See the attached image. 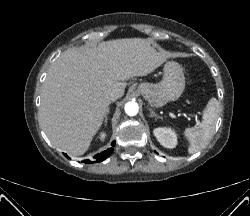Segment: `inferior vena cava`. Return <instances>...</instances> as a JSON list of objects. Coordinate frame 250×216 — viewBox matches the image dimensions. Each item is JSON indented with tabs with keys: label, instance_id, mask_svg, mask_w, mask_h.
Wrapping results in <instances>:
<instances>
[{
	"label": "inferior vena cava",
	"instance_id": "obj_1",
	"mask_svg": "<svg viewBox=\"0 0 250 216\" xmlns=\"http://www.w3.org/2000/svg\"><path fill=\"white\" fill-rule=\"evenodd\" d=\"M105 97L108 101L113 102L121 97V92L118 89H110L106 92Z\"/></svg>",
	"mask_w": 250,
	"mask_h": 216
}]
</instances>
